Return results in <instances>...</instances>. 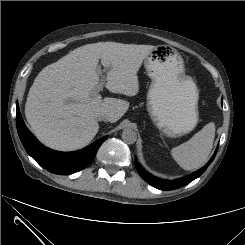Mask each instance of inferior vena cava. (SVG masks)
I'll use <instances>...</instances> for the list:
<instances>
[{
	"mask_svg": "<svg viewBox=\"0 0 245 245\" xmlns=\"http://www.w3.org/2000/svg\"><path fill=\"white\" fill-rule=\"evenodd\" d=\"M97 121H105L108 122L109 121V117L106 115H100L97 117Z\"/></svg>",
	"mask_w": 245,
	"mask_h": 245,
	"instance_id": "inferior-vena-cava-1",
	"label": "inferior vena cava"
}]
</instances>
